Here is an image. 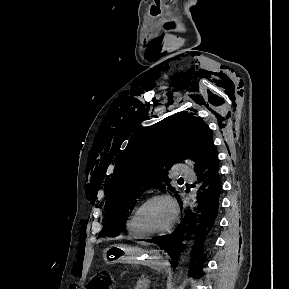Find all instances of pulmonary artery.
Listing matches in <instances>:
<instances>
[{"mask_svg": "<svg viewBox=\"0 0 289 289\" xmlns=\"http://www.w3.org/2000/svg\"><path fill=\"white\" fill-rule=\"evenodd\" d=\"M177 169L180 177L185 179L193 177V173L190 171L189 166L187 164L180 163Z\"/></svg>", "mask_w": 289, "mask_h": 289, "instance_id": "1", "label": "pulmonary artery"}]
</instances>
